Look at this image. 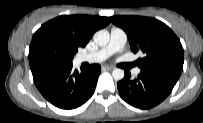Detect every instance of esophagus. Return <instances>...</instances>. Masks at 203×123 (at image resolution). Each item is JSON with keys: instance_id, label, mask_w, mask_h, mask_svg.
Instances as JSON below:
<instances>
[{"instance_id": "esophagus-1", "label": "esophagus", "mask_w": 203, "mask_h": 123, "mask_svg": "<svg viewBox=\"0 0 203 123\" xmlns=\"http://www.w3.org/2000/svg\"><path fill=\"white\" fill-rule=\"evenodd\" d=\"M102 69L103 70H113L114 67L105 65V66L102 67Z\"/></svg>"}]
</instances>
